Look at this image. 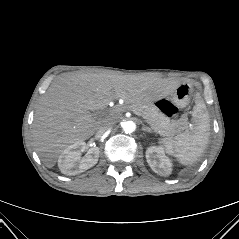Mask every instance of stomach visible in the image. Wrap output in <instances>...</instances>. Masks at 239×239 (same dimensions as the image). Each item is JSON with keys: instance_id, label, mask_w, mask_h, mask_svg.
<instances>
[{"instance_id": "stomach-1", "label": "stomach", "mask_w": 239, "mask_h": 239, "mask_svg": "<svg viewBox=\"0 0 239 239\" xmlns=\"http://www.w3.org/2000/svg\"><path fill=\"white\" fill-rule=\"evenodd\" d=\"M193 87L188 82L179 83L172 95L155 100L156 105L162 109L169 118H178L185 111V105L190 101Z\"/></svg>"}]
</instances>
